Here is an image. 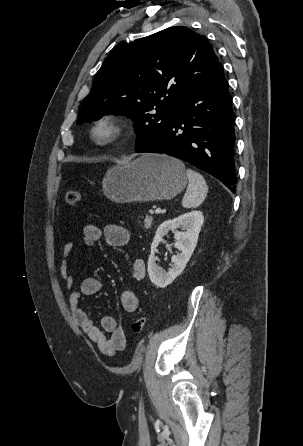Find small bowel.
I'll return each mask as SVG.
<instances>
[{"label": "small bowel", "mask_w": 303, "mask_h": 446, "mask_svg": "<svg viewBox=\"0 0 303 446\" xmlns=\"http://www.w3.org/2000/svg\"><path fill=\"white\" fill-rule=\"evenodd\" d=\"M105 239L112 247H122L129 242L130 232L127 228L119 224H108L104 229H100L94 224H87L83 228L82 241L87 246ZM74 249V243L67 241L63 244V261L60 267V275L65 281L66 287L71 289L74 284L69 267V257ZM146 275V263L143 259H135L132 265V276L135 280H142ZM101 281L95 276L84 278L78 290L71 292L69 296V306L72 317L80 329L87 337L96 344L99 351L112 357L118 351L126 348L127 338L124 330L118 326L117 320L112 315H104L100 320V327L94 325L91 317L81 306V296H91L100 291ZM122 307L125 311L132 313L138 309L139 300L136 293L126 289L120 296Z\"/></svg>", "instance_id": "small-bowel-1"}]
</instances>
